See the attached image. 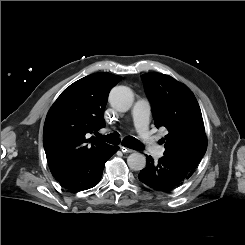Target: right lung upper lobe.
Listing matches in <instances>:
<instances>
[{
  "label": "right lung upper lobe",
  "instance_id": "cb5924a9",
  "mask_svg": "<svg viewBox=\"0 0 245 245\" xmlns=\"http://www.w3.org/2000/svg\"><path fill=\"white\" fill-rule=\"evenodd\" d=\"M120 80V76L110 73L88 75L66 88L50 108L43 129V145L56 180L110 147L88 136L105 126L103 114L108 93Z\"/></svg>",
  "mask_w": 245,
  "mask_h": 245
}]
</instances>
